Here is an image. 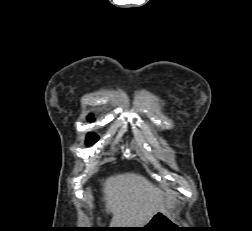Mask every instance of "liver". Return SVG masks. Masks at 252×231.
<instances>
[{
  "mask_svg": "<svg viewBox=\"0 0 252 231\" xmlns=\"http://www.w3.org/2000/svg\"><path fill=\"white\" fill-rule=\"evenodd\" d=\"M103 186L106 212L112 214V228L142 227L163 209V192L141 175L111 176Z\"/></svg>",
  "mask_w": 252,
  "mask_h": 231,
  "instance_id": "obj_1",
  "label": "liver"
}]
</instances>
